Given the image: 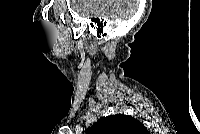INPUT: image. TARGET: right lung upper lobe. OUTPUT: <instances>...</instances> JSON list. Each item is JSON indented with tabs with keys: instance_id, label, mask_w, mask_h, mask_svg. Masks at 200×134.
Segmentation results:
<instances>
[{
	"instance_id": "1",
	"label": "right lung upper lobe",
	"mask_w": 200,
	"mask_h": 134,
	"mask_svg": "<svg viewBox=\"0 0 200 134\" xmlns=\"http://www.w3.org/2000/svg\"><path fill=\"white\" fill-rule=\"evenodd\" d=\"M87 134H147V130L137 119L116 114L99 119L88 129Z\"/></svg>"
}]
</instances>
